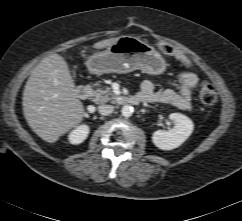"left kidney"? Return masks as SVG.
I'll return each instance as SVG.
<instances>
[{
  "instance_id": "1",
  "label": "left kidney",
  "mask_w": 242,
  "mask_h": 221,
  "mask_svg": "<svg viewBox=\"0 0 242 221\" xmlns=\"http://www.w3.org/2000/svg\"><path fill=\"white\" fill-rule=\"evenodd\" d=\"M169 117L175 122V126L168 131L157 130L152 135L154 145L161 150L178 148L189 138L194 129L192 120L181 113H171Z\"/></svg>"
}]
</instances>
